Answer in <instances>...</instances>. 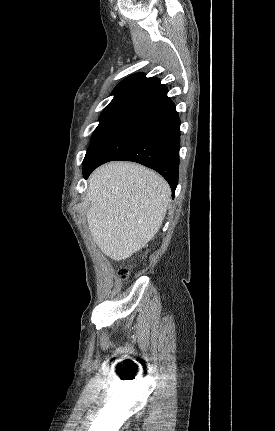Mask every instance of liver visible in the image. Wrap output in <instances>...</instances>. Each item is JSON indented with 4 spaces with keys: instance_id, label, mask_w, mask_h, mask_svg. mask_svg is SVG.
<instances>
[{
    "instance_id": "liver-1",
    "label": "liver",
    "mask_w": 275,
    "mask_h": 431,
    "mask_svg": "<svg viewBox=\"0 0 275 431\" xmlns=\"http://www.w3.org/2000/svg\"><path fill=\"white\" fill-rule=\"evenodd\" d=\"M88 185V226L106 256L125 260L152 240L171 197L159 174L136 163L112 162L96 169Z\"/></svg>"
}]
</instances>
